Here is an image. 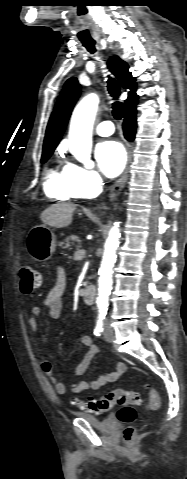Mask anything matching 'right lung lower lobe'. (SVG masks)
<instances>
[{
    "instance_id": "right-lung-lower-lobe-1",
    "label": "right lung lower lobe",
    "mask_w": 187,
    "mask_h": 479,
    "mask_svg": "<svg viewBox=\"0 0 187 479\" xmlns=\"http://www.w3.org/2000/svg\"><path fill=\"white\" fill-rule=\"evenodd\" d=\"M136 106L126 109L123 123L124 135L127 140L132 141L136 132Z\"/></svg>"
}]
</instances>
